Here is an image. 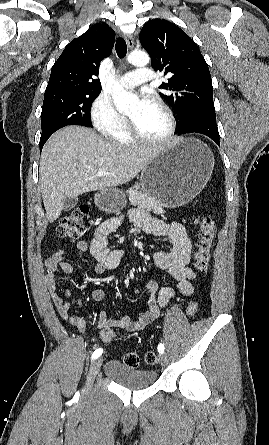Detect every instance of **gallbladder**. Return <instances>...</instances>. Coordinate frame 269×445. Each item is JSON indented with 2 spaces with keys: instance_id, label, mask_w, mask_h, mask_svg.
Returning <instances> with one entry per match:
<instances>
[{
  "instance_id": "1",
  "label": "gallbladder",
  "mask_w": 269,
  "mask_h": 445,
  "mask_svg": "<svg viewBox=\"0 0 269 445\" xmlns=\"http://www.w3.org/2000/svg\"><path fill=\"white\" fill-rule=\"evenodd\" d=\"M78 203L77 197H66L63 201V210L70 211L73 209Z\"/></svg>"
}]
</instances>
